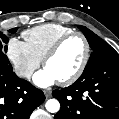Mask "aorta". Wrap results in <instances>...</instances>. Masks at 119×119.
<instances>
[{
	"label": "aorta",
	"instance_id": "aorta-1",
	"mask_svg": "<svg viewBox=\"0 0 119 119\" xmlns=\"http://www.w3.org/2000/svg\"><path fill=\"white\" fill-rule=\"evenodd\" d=\"M45 107H46V109H47L48 112H50V113H56L60 109V103L56 99H49L46 102Z\"/></svg>",
	"mask_w": 119,
	"mask_h": 119
}]
</instances>
